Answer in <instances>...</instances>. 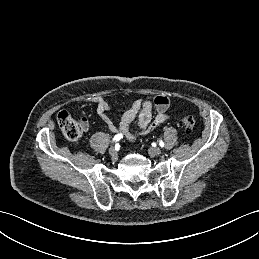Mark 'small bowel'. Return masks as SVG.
<instances>
[{
  "label": "small bowel",
  "mask_w": 259,
  "mask_h": 259,
  "mask_svg": "<svg viewBox=\"0 0 259 259\" xmlns=\"http://www.w3.org/2000/svg\"><path fill=\"white\" fill-rule=\"evenodd\" d=\"M96 105V112L112 132H120L129 141L135 140V134L130 131V126L137 119V131L149 132L164 123L168 116L166 114L170 105V99L164 95H158L153 101L148 99H138L123 113L121 120L116 125L107 115L109 110L108 102L102 97H92L85 101ZM155 109L156 114L153 115ZM80 125L84 131L89 129V121L86 117L80 119Z\"/></svg>",
  "instance_id": "small-bowel-1"
}]
</instances>
